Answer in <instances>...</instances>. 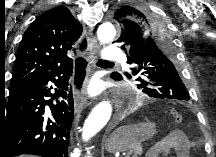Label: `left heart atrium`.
<instances>
[{
  "mask_svg": "<svg viewBox=\"0 0 216 157\" xmlns=\"http://www.w3.org/2000/svg\"><path fill=\"white\" fill-rule=\"evenodd\" d=\"M92 92H95V89H94V88L92 89Z\"/></svg>",
  "mask_w": 216,
  "mask_h": 157,
  "instance_id": "obj_1",
  "label": "left heart atrium"
}]
</instances>
